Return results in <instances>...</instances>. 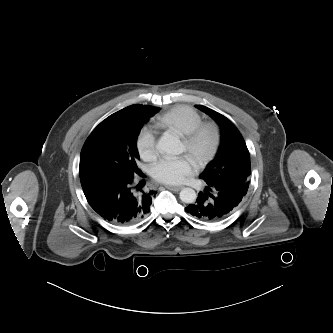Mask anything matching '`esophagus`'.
<instances>
[{"label":"esophagus","mask_w":333,"mask_h":333,"mask_svg":"<svg viewBox=\"0 0 333 333\" xmlns=\"http://www.w3.org/2000/svg\"><path fill=\"white\" fill-rule=\"evenodd\" d=\"M166 188L169 189V190H171V191L178 192V191H180L183 187H182V186H170V185H167Z\"/></svg>","instance_id":"1"}]
</instances>
